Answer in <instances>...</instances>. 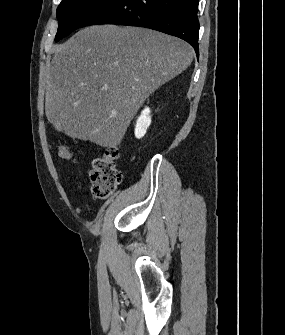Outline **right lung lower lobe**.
<instances>
[{
  "mask_svg": "<svg viewBox=\"0 0 285 335\" xmlns=\"http://www.w3.org/2000/svg\"><path fill=\"white\" fill-rule=\"evenodd\" d=\"M199 0H116L84 25L119 24L157 30L188 42L199 56Z\"/></svg>",
  "mask_w": 285,
  "mask_h": 335,
  "instance_id": "right-lung-lower-lobe-1",
  "label": "right lung lower lobe"
}]
</instances>
